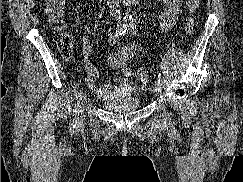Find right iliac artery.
I'll return each instance as SVG.
<instances>
[{
  "label": "right iliac artery",
  "instance_id": "82829eb1",
  "mask_svg": "<svg viewBox=\"0 0 243 182\" xmlns=\"http://www.w3.org/2000/svg\"><path fill=\"white\" fill-rule=\"evenodd\" d=\"M127 28H128V23H122V24L116 29V31H115V33H114L115 36H116V37H119V36L123 35V34L126 32ZM80 91H81V90H80V82L78 81V82H76V83L74 84V92H75V96H76V98L79 97ZM75 125H76V121H75V118H74V119H72V120L70 121V124H69V128H70L71 131L75 128Z\"/></svg>",
  "mask_w": 243,
  "mask_h": 182
}]
</instances>
